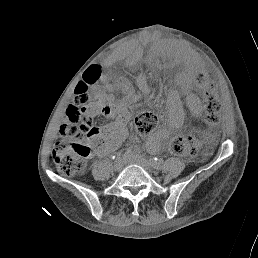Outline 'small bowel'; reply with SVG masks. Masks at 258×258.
Instances as JSON below:
<instances>
[{"label": "small bowel", "instance_id": "c3829d8e", "mask_svg": "<svg viewBox=\"0 0 258 258\" xmlns=\"http://www.w3.org/2000/svg\"><path fill=\"white\" fill-rule=\"evenodd\" d=\"M129 53L124 57L125 62L128 64L134 63L138 60L141 51L137 45H131L128 47ZM193 71H196V67H192ZM97 100L96 104L90 105L85 109L84 119L86 122L90 121L96 116H105L113 118L114 108L109 103L107 97L104 95V89L102 87H96L89 91ZM126 136L125 128L115 125L114 123L108 124L101 129V144L94 149L92 155L97 157H103L117 149L121 141ZM149 146L151 149H156V138L150 140Z\"/></svg>", "mask_w": 258, "mask_h": 258}]
</instances>
